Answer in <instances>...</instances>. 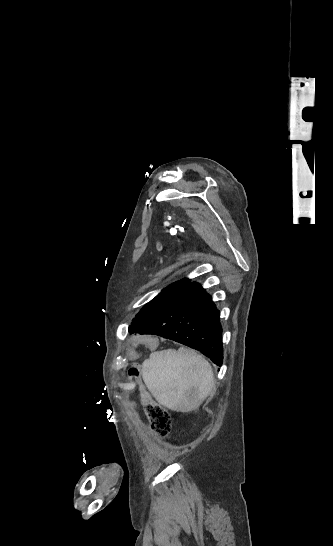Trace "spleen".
Masks as SVG:
<instances>
[{"label": "spleen", "instance_id": "1", "mask_svg": "<svg viewBox=\"0 0 333 546\" xmlns=\"http://www.w3.org/2000/svg\"><path fill=\"white\" fill-rule=\"evenodd\" d=\"M142 377L155 399L177 412L198 408L215 386L208 361L183 347L151 353L143 362Z\"/></svg>", "mask_w": 333, "mask_h": 546}]
</instances>
